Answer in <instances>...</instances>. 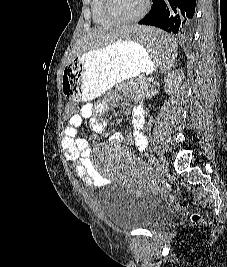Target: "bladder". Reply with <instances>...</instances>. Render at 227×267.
I'll list each match as a JSON object with an SVG mask.
<instances>
[{
	"mask_svg": "<svg viewBox=\"0 0 227 267\" xmlns=\"http://www.w3.org/2000/svg\"><path fill=\"white\" fill-rule=\"evenodd\" d=\"M101 205L111 224L119 228L158 229L170 215L168 206L152 194L137 195L118 185L101 196Z\"/></svg>",
	"mask_w": 227,
	"mask_h": 267,
	"instance_id": "1",
	"label": "bladder"
}]
</instances>
